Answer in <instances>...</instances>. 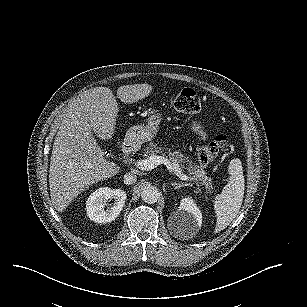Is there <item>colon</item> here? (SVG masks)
<instances>
[{
    "label": "colon",
    "instance_id": "1",
    "mask_svg": "<svg viewBox=\"0 0 307 307\" xmlns=\"http://www.w3.org/2000/svg\"><path fill=\"white\" fill-rule=\"evenodd\" d=\"M172 106L183 113L195 114L201 109V100L198 94L190 88H184L177 92L171 98ZM230 141L227 135L220 134L215 139L200 147L198 151L199 161L206 165L214 160L221 154L229 150Z\"/></svg>",
    "mask_w": 307,
    "mask_h": 307
}]
</instances>
